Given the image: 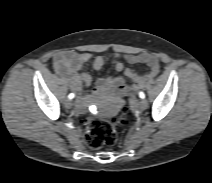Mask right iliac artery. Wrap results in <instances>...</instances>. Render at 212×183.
Returning <instances> with one entry per match:
<instances>
[{
    "instance_id": "82829eb1",
    "label": "right iliac artery",
    "mask_w": 212,
    "mask_h": 183,
    "mask_svg": "<svg viewBox=\"0 0 212 183\" xmlns=\"http://www.w3.org/2000/svg\"><path fill=\"white\" fill-rule=\"evenodd\" d=\"M74 96H75V95H74L73 93H70V94L68 95V98H69V99H73Z\"/></svg>"
}]
</instances>
